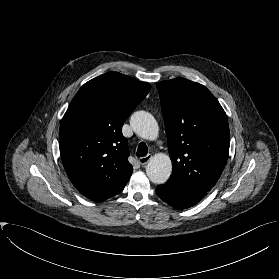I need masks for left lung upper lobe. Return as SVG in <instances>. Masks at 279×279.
I'll use <instances>...</instances> for the list:
<instances>
[{"instance_id":"1","label":"left lung upper lobe","mask_w":279,"mask_h":279,"mask_svg":"<svg viewBox=\"0 0 279 279\" xmlns=\"http://www.w3.org/2000/svg\"><path fill=\"white\" fill-rule=\"evenodd\" d=\"M173 173L168 181L206 194L229 153L225 111L203 85L178 77L157 84Z\"/></svg>"}]
</instances>
